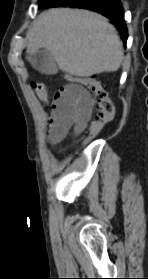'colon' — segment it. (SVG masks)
<instances>
[{"label": "colon", "instance_id": "1", "mask_svg": "<svg viewBox=\"0 0 148 279\" xmlns=\"http://www.w3.org/2000/svg\"><path fill=\"white\" fill-rule=\"evenodd\" d=\"M70 83L80 85L89 89L93 95L97 109V117L88 130V135L92 136L98 133L107 123L113 120L115 116V105L110 98L107 90L102 82L95 76L88 77H70ZM32 88L35 93L44 101L48 102L52 99L53 94L44 83H32Z\"/></svg>", "mask_w": 148, "mask_h": 279}]
</instances>
